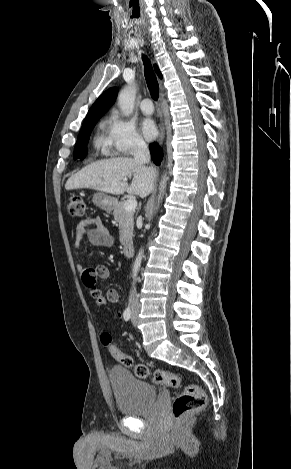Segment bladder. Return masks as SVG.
Segmentation results:
<instances>
[{"instance_id": "1", "label": "bladder", "mask_w": 291, "mask_h": 469, "mask_svg": "<svg viewBox=\"0 0 291 469\" xmlns=\"http://www.w3.org/2000/svg\"><path fill=\"white\" fill-rule=\"evenodd\" d=\"M109 380L121 415L139 416L152 409L157 393L150 383L135 377L121 366L110 369Z\"/></svg>"}]
</instances>
